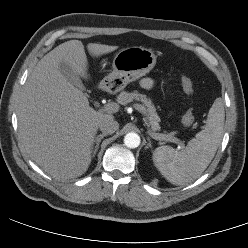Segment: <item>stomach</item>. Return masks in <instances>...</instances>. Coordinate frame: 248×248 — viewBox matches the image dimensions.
<instances>
[{
	"label": "stomach",
	"instance_id": "0dacf381",
	"mask_svg": "<svg viewBox=\"0 0 248 248\" xmlns=\"http://www.w3.org/2000/svg\"><path fill=\"white\" fill-rule=\"evenodd\" d=\"M156 64V55L143 47H128L119 51L112 62V72L103 80L102 86L109 92H119L128 83L149 73Z\"/></svg>",
	"mask_w": 248,
	"mask_h": 248
}]
</instances>
